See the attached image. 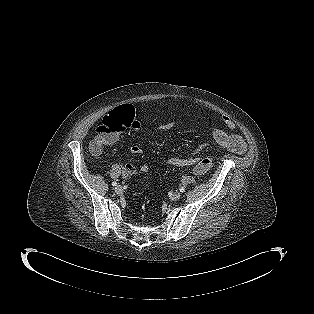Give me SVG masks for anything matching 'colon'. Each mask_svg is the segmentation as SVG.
I'll use <instances>...</instances> for the list:
<instances>
[{"mask_svg":"<svg viewBox=\"0 0 314 314\" xmlns=\"http://www.w3.org/2000/svg\"><path fill=\"white\" fill-rule=\"evenodd\" d=\"M137 126L138 122L133 107L128 104L119 106L105 116L102 123L97 127L91 143L92 152L99 153L101 148L110 143L118 133ZM216 159L217 157L214 154L203 157L195 166V173H205L215 164Z\"/></svg>","mask_w":314,"mask_h":314,"instance_id":"colon-1","label":"colon"}]
</instances>
